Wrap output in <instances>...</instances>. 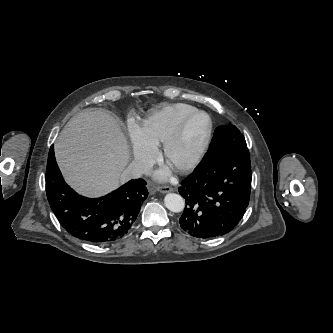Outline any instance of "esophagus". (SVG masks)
Wrapping results in <instances>:
<instances>
[{"mask_svg":"<svg viewBox=\"0 0 333 333\" xmlns=\"http://www.w3.org/2000/svg\"><path fill=\"white\" fill-rule=\"evenodd\" d=\"M157 190L161 193H167L173 191V188L167 185H161L157 187Z\"/></svg>","mask_w":333,"mask_h":333,"instance_id":"esophagus-1","label":"esophagus"}]
</instances>
